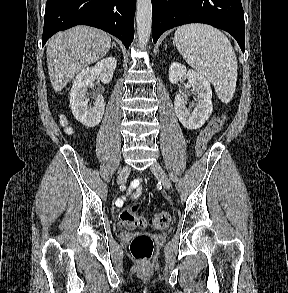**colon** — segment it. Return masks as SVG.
<instances>
[{
	"label": "colon",
	"instance_id": "colon-1",
	"mask_svg": "<svg viewBox=\"0 0 288 293\" xmlns=\"http://www.w3.org/2000/svg\"><path fill=\"white\" fill-rule=\"evenodd\" d=\"M224 116L213 117L201 131L196 141V153L202 155L211 138L223 128ZM139 203L125 207L120 213L121 223L128 229L143 228L147 225L155 229H164L170 222V216L165 212H158L146 219L138 216ZM153 240L147 235H137L133 238L130 250L133 257L140 261L150 259L153 253Z\"/></svg>",
	"mask_w": 288,
	"mask_h": 293
}]
</instances>
